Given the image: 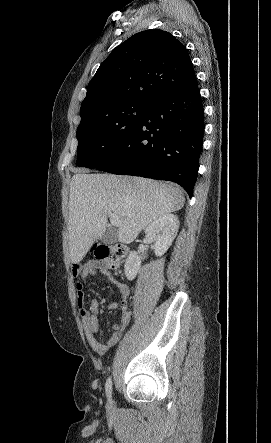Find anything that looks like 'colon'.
I'll return each mask as SVG.
<instances>
[{"label":"colon","instance_id":"1","mask_svg":"<svg viewBox=\"0 0 271 443\" xmlns=\"http://www.w3.org/2000/svg\"><path fill=\"white\" fill-rule=\"evenodd\" d=\"M128 248L121 243L101 245L95 250V255L103 259L110 268H117L127 255Z\"/></svg>","mask_w":271,"mask_h":443}]
</instances>
